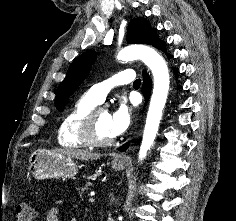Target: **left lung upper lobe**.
Listing matches in <instances>:
<instances>
[{
    "instance_id": "5c2ea615",
    "label": "left lung upper lobe",
    "mask_w": 236,
    "mask_h": 221,
    "mask_svg": "<svg viewBox=\"0 0 236 221\" xmlns=\"http://www.w3.org/2000/svg\"><path fill=\"white\" fill-rule=\"evenodd\" d=\"M158 39L155 29H151L144 18L132 19L128 26L127 42L130 44H153ZM96 59L95 51H88L78 56L70 65L65 79L58 87L55 106L63 111L64 104L69 96L80 86L88 75Z\"/></svg>"
}]
</instances>
